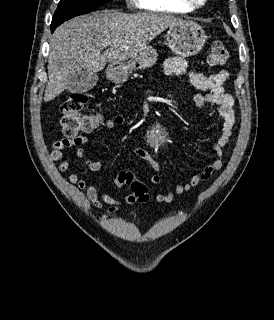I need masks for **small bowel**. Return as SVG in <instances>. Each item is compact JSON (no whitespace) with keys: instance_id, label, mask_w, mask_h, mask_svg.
Here are the masks:
<instances>
[{"instance_id":"c3829d8e","label":"small bowel","mask_w":274,"mask_h":320,"mask_svg":"<svg viewBox=\"0 0 274 320\" xmlns=\"http://www.w3.org/2000/svg\"><path fill=\"white\" fill-rule=\"evenodd\" d=\"M186 70L187 63L182 57H169L165 61L164 71L167 75H183L186 73ZM188 77L193 87L206 91V93H198L194 95L193 102L197 107H203L208 104H215L218 106L219 114L223 119L220 128V136L212 143V149L215 156L214 160L204 169L196 172L189 181L174 186V188L168 193H158L155 197L158 203L168 204L173 202L177 196L197 187L200 183L210 178L215 172L219 171L223 167V148L230 141L236 122L234 98L226 92L224 87L230 78V74L227 70H221L210 75H205L193 70L188 73ZM87 124L91 127L86 129L85 132L102 131L103 126L106 130L110 131L117 127L124 126L126 124V119L123 116L118 115L107 120L89 119ZM89 143L90 140L86 136L57 140L52 145L50 159L52 161H60L58 166L59 171L66 172L70 167V161L65 158L64 150L66 148L75 147L77 157L90 171H100L102 163L98 160L87 158L83 150V146ZM133 152L145 160L154 171V174L150 177V182L155 185L159 184L161 181V166L159 163L147 151L141 148H135ZM69 182L85 193L88 202L95 209L107 214L116 212L122 204H133L135 202L131 195L115 197L108 193L100 192L95 185L89 184L86 180L81 179L76 173H71L69 175ZM113 184L117 188L126 186L120 183L118 178L113 181Z\"/></svg>"}]
</instances>
